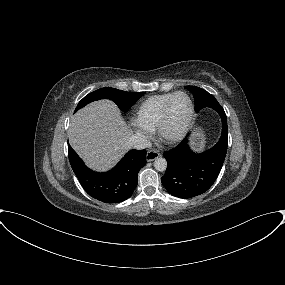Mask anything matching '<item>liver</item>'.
Returning a JSON list of instances; mask_svg holds the SVG:
<instances>
[{"mask_svg":"<svg viewBox=\"0 0 285 285\" xmlns=\"http://www.w3.org/2000/svg\"><path fill=\"white\" fill-rule=\"evenodd\" d=\"M68 136L71 147L89 168L106 171L130 148L132 131L113 102L100 100L72 117Z\"/></svg>","mask_w":285,"mask_h":285,"instance_id":"1","label":"liver"}]
</instances>
